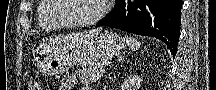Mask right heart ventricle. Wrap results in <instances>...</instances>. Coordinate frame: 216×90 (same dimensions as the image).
I'll return each mask as SVG.
<instances>
[{"instance_id": "obj_1", "label": "right heart ventricle", "mask_w": 216, "mask_h": 90, "mask_svg": "<svg viewBox=\"0 0 216 90\" xmlns=\"http://www.w3.org/2000/svg\"><path fill=\"white\" fill-rule=\"evenodd\" d=\"M39 2L40 6H36V10H41V14L37 18L38 27L40 29H63V23H57L45 17L58 16V14H51V10H54V7H59V4L54 0H39Z\"/></svg>"}]
</instances>
